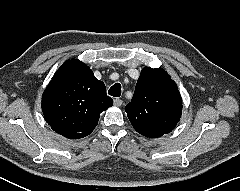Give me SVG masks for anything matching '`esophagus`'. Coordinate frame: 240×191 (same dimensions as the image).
<instances>
[{
  "label": "esophagus",
  "mask_w": 240,
  "mask_h": 191,
  "mask_svg": "<svg viewBox=\"0 0 240 191\" xmlns=\"http://www.w3.org/2000/svg\"><path fill=\"white\" fill-rule=\"evenodd\" d=\"M122 103H123V101L121 99H119V98L114 99V105L115 106L119 107V106L122 105Z\"/></svg>",
  "instance_id": "34e87169"
}]
</instances>
